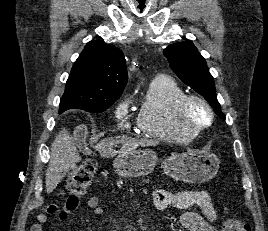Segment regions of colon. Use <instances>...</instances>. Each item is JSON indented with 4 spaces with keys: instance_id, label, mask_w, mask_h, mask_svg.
Masks as SVG:
<instances>
[{
    "instance_id": "1",
    "label": "colon",
    "mask_w": 268,
    "mask_h": 231,
    "mask_svg": "<svg viewBox=\"0 0 268 231\" xmlns=\"http://www.w3.org/2000/svg\"><path fill=\"white\" fill-rule=\"evenodd\" d=\"M96 172V164L93 161H88L72 171L66 189L61 193V196L66 197L65 208L61 212L60 217L65 218L69 212L75 210L79 203V198L87 191L94 173ZM43 216L40 217V221ZM225 231H251V226L242 223L234 218H227L224 223Z\"/></svg>"
}]
</instances>
